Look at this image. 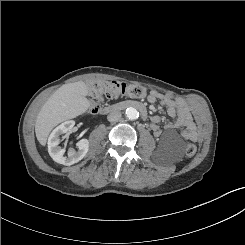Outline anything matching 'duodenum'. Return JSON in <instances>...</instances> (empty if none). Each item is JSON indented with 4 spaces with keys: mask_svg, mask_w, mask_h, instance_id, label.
Segmentation results:
<instances>
[{
    "mask_svg": "<svg viewBox=\"0 0 245 245\" xmlns=\"http://www.w3.org/2000/svg\"><path fill=\"white\" fill-rule=\"evenodd\" d=\"M127 108H135L142 114L143 118L145 119L149 118L146 107L142 103L137 102V101H124V102H120V103L112 104V105L106 104L101 107V112L110 113L113 111L124 110Z\"/></svg>",
    "mask_w": 245,
    "mask_h": 245,
    "instance_id": "duodenum-1",
    "label": "duodenum"
}]
</instances>
